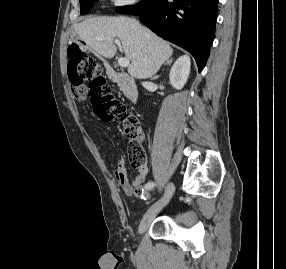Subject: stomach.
<instances>
[{
	"instance_id": "0dacf381",
	"label": "stomach",
	"mask_w": 286,
	"mask_h": 269,
	"mask_svg": "<svg viewBox=\"0 0 286 269\" xmlns=\"http://www.w3.org/2000/svg\"><path fill=\"white\" fill-rule=\"evenodd\" d=\"M74 41H76L78 44H81L80 40L75 39Z\"/></svg>"
}]
</instances>
